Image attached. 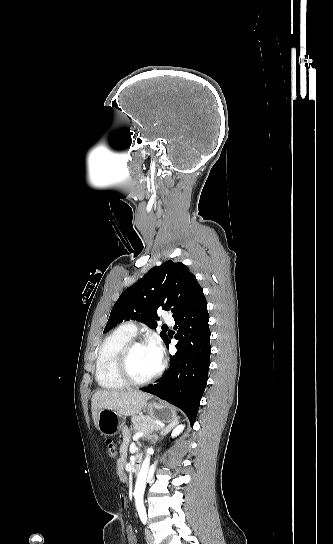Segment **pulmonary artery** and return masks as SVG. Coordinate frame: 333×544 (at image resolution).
I'll return each mask as SVG.
<instances>
[{"mask_svg":"<svg viewBox=\"0 0 333 544\" xmlns=\"http://www.w3.org/2000/svg\"><path fill=\"white\" fill-rule=\"evenodd\" d=\"M164 321H165L166 323H169V324H172V323L174 322L173 317H172L170 314H166V315L164 316ZM122 327H123L125 330H127L130 334H132V335H134V336H135L136 333H137V326H136V324L133 323V322H127V323L123 324Z\"/></svg>","mask_w":333,"mask_h":544,"instance_id":"obj_1","label":"pulmonary artery"}]
</instances>
